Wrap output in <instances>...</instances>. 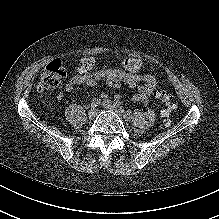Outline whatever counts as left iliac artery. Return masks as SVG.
<instances>
[{"label":"left iliac artery","instance_id":"left-iliac-artery-1","mask_svg":"<svg viewBox=\"0 0 219 219\" xmlns=\"http://www.w3.org/2000/svg\"><path fill=\"white\" fill-rule=\"evenodd\" d=\"M114 105L121 108V102L119 100H115Z\"/></svg>","mask_w":219,"mask_h":219}]
</instances>
